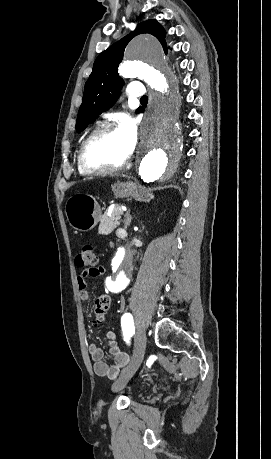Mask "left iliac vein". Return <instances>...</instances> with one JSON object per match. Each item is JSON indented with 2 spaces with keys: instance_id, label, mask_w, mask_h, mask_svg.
I'll use <instances>...</instances> for the list:
<instances>
[{
  "instance_id": "left-iliac-vein-1",
  "label": "left iliac vein",
  "mask_w": 271,
  "mask_h": 459,
  "mask_svg": "<svg viewBox=\"0 0 271 459\" xmlns=\"http://www.w3.org/2000/svg\"><path fill=\"white\" fill-rule=\"evenodd\" d=\"M145 349H146V335L144 333V329H139L136 332L135 345H134V356L132 360L130 361L129 365L123 370L121 376L112 385V390L114 392H119L120 390H122L125 387L126 383L128 382V379L133 376L140 362L143 360L145 356Z\"/></svg>"
}]
</instances>
